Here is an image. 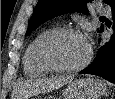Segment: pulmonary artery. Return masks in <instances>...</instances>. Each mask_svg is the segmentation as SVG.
<instances>
[{"instance_id":"e3ab8cb5","label":"pulmonary artery","mask_w":115,"mask_h":99,"mask_svg":"<svg viewBox=\"0 0 115 99\" xmlns=\"http://www.w3.org/2000/svg\"><path fill=\"white\" fill-rule=\"evenodd\" d=\"M98 11H99V13H101V14H110V12H111L108 7H103V6H100V7L98 8Z\"/></svg>"}]
</instances>
